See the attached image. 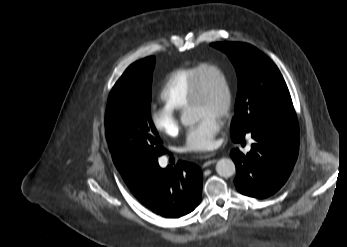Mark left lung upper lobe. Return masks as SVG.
<instances>
[{
  "label": "left lung upper lobe",
  "mask_w": 347,
  "mask_h": 247,
  "mask_svg": "<svg viewBox=\"0 0 347 247\" xmlns=\"http://www.w3.org/2000/svg\"><path fill=\"white\" fill-rule=\"evenodd\" d=\"M211 45L229 56L238 76L231 135H243L271 119L296 118L287 85L277 66L265 54L246 43L219 42Z\"/></svg>",
  "instance_id": "1"
}]
</instances>
